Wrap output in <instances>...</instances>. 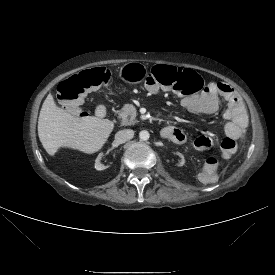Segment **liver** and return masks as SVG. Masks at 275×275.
<instances>
[{
    "label": "liver",
    "mask_w": 275,
    "mask_h": 275,
    "mask_svg": "<svg viewBox=\"0 0 275 275\" xmlns=\"http://www.w3.org/2000/svg\"><path fill=\"white\" fill-rule=\"evenodd\" d=\"M113 128L114 123L108 119L72 116L56 105L51 94L45 99L38 119L39 139L51 156L61 147L93 154L103 147Z\"/></svg>",
    "instance_id": "1"
}]
</instances>
